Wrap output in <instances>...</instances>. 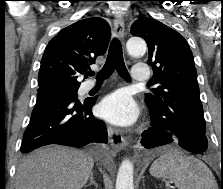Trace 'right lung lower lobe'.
<instances>
[{
    "instance_id": "98d812e1",
    "label": "right lung lower lobe",
    "mask_w": 223,
    "mask_h": 189,
    "mask_svg": "<svg viewBox=\"0 0 223 189\" xmlns=\"http://www.w3.org/2000/svg\"><path fill=\"white\" fill-rule=\"evenodd\" d=\"M95 101H79L77 93H38L21 152L49 144L83 147L89 143H107L104 122L92 115Z\"/></svg>"
}]
</instances>
